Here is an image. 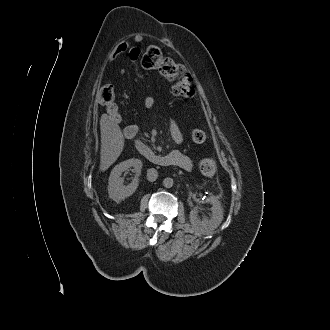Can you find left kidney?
Masks as SVG:
<instances>
[{"instance_id":"obj_1","label":"left kidney","mask_w":330,"mask_h":330,"mask_svg":"<svg viewBox=\"0 0 330 330\" xmlns=\"http://www.w3.org/2000/svg\"><path fill=\"white\" fill-rule=\"evenodd\" d=\"M210 202L212 204L211 207V217L203 216L202 219L198 217V208L195 207L190 212V222L192 225V228L195 230V232H198L203 235L210 234L213 230H215L222 222L223 220V209L221 207V204L218 200L215 198H211Z\"/></svg>"}]
</instances>
